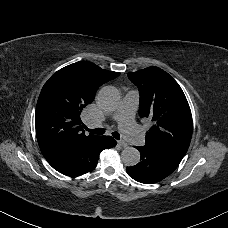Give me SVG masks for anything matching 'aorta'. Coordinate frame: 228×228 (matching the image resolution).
I'll return each instance as SVG.
<instances>
[{
	"mask_svg": "<svg viewBox=\"0 0 228 228\" xmlns=\"http://www.w3.org/2000/svg\"><path fill=\"white\" fill-rule=\"evenodd\" d=\"M119 102V92L113 86H105L98 92L97 103L105 111H114ZM121 159L126 166H134L140 161V152L134 147H126L121 153Z\"/></svg>",
	"mask_w": 228,
	"mask_h": 228,
	"instance_id": "obj_1",
	"label": "aorta"
}]
</instances>
